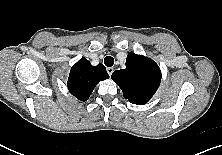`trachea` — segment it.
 I'll return each mask as SVG.
<instances>
[{
	"mask_svg": "<svg viewBox=\"0 0 222 155\" xmlns=\"http://www.w3.org/2000/svg\"><path fill=\"white\" fill-rule=\"evenodd\" d=\"M104 64L108 67H111L114 64V59L111 56H106L104 59Z\"/></svg>",
	"mask_w": 222,
	"mask_h": 155,
	"instance_id": "3493384b",
	"label": "trachea"
}]
</instances>
